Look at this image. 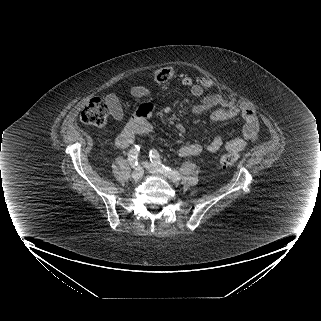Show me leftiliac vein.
Here are the masks:
<instances>
[{
    "instance_id": "obj_1",
    "label": "left iliac vein",
    "mask_w": 321,
    "mask_h": 321,
    "mask_svg": "<svg viewBox=\"0 0 321 321\" xmlns=\"http://www.w3.org/2000/svg\"><path fill=\"white\" fill-rule=\"evenodd\" d=\"M143 166H144L150 173H152V174H154V175H156V176H159V177H161L162 179H165V180L168 179L167 176H166L163 172L159 171L152 163L145 161V162H143Z\"/></svg>"
}]
</instances>
